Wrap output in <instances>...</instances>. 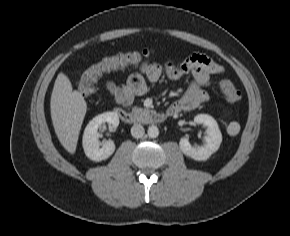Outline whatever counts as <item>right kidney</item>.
<instances>
[{"label":"right kidney","mask_w":290,"mask_h":236,"mask_svg":"<svg viewBox=\"0 0 290 236\" xmlns=\"http://www.w3.org/2000/svg\"><path fill=\"white\" fill-rule=\"evenodd\" d=\"M108 123L111 130H116L119 125V117L114 112H105L94 117L86 126L82 138V145L86 156L93 161L99 162L108 159L115 151L113 141H99L98 128Z\"/></svg>","instance_id":"1"}]
</instances>
